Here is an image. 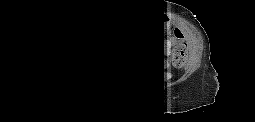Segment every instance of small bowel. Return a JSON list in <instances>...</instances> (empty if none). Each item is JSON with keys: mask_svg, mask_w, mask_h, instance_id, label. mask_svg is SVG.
Segmentation results:
<instances>
[{"mask_svg": "<svg viewBox=\"0 0 255 122\" xmlns=\"http://www.w3.org/2000/svg\"><path fill=\"white\" fill-rule=\"evenodd\" d=\"M181 37H182V35H181ZM166 45H167L166 42H160L155 47H153L152 50L155 53H162L165 51Z\"/></svg>", "mask_w": 255, "mask_h": 122, "instance_id": "c3829d8e", "label": "small bowel"}]
</instances>
